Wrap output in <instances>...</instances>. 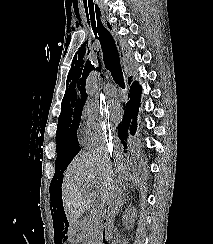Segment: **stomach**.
Returning a JSON list of instances; mask_svg holds the SVG:
<instances>
[{
	"label": "stomach",
	"mask_w": 213,
	"mask_h": 244,
	"mask_svg": "<svg viewBox=\"0 0 213 244\" xmlns=\"http://www.w3.org/2000/svg\"><path fill=\"white\" fill-rule=\"evenodd\" d=\"M69 235L73 239H69V244H78L79 240L83 238V221H70Z\"/></svg>",
	"instance_id": "stomach-1"
}]
</instances>
